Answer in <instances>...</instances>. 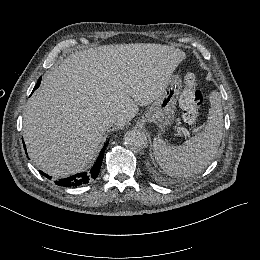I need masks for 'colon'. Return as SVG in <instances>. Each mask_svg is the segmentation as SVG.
Wrapping results in <instances>:
<instances>
[{
	"label": "colon",
	"mask_w": 260,
	"mask_h": 260,
	"mask_svg": "<svg viewBox=\"0 0 260 260\" xmlns=\"http://www.w3.org/2000/svg\"><path fill=\"white\" fill-rule=\"evenodd\" d=\"M203 102L199 83L194 76L185 78L184 87L179 95L184 125L193 128L197 125L200 106Z\"/></svg>",
	"instance_id": "colon-1"
}]
</instances>
